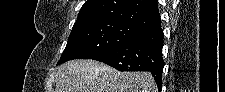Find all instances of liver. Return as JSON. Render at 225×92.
I'll return each mask as SVG.
<instances>
[{
  "label": "liver",
  "instance_id": "6515ba94",
  "mask_svg": "<svg viewBox=\"0 0 225 92\" xmlns=\"http://www.w3.org/2000/svg\"><path fill=\"white\" fill-rule=\"evenodd\" d=\"M55 92H157L149 72H119L94 61L73 60L58 67Z\"/></svg>",
  "mask_w": 225,
  "mask_h": 92
}]
</instances>
